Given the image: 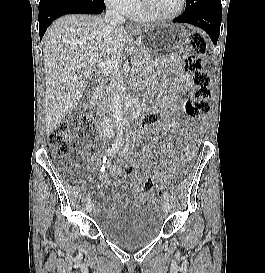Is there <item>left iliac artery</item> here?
Instances as JSON below:
<instances>
[{
    "label": "left iliac artery",
    "instance_id": "44dca946",
    "mask_svg": "<svg viewBox=\"0 0 265 273\" xmlns=\"http://www.w3.org/2000/svg\"><path fill=\"white\" fill-rule=\"evenodd\" d=\"M127 125H129V123H127ZM129 126H130V125H129ZM163 197H164V199H166V200H170V195H169L168 192H164Z\"/></svg>",
    "mask_w": 265,
    "mask_h": 273
}]
</instances>
